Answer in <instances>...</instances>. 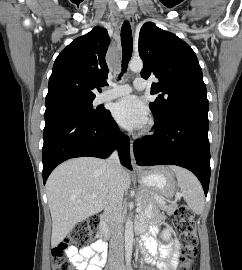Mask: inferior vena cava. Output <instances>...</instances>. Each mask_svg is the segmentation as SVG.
<instances>
[{"instance_id":"inferior-vena-cava-1","label":"inferior vena cava","mask_w":242,"mask_h":270,"mask_svg":"<svg viewBox=\"0 0 242 270\" xmlns=\"http://www.w3.org/2000/svg\"><path fill=\"white\" fill-rule=\"evenodd\" d=\"M107 172L110 179V189L108 201L105 206V216L112 231L110 241L111 248V266L123 267V226H122V210L124 187L122 182V167L115 151L106 161Z\"/></svg>"}]
</instances>
